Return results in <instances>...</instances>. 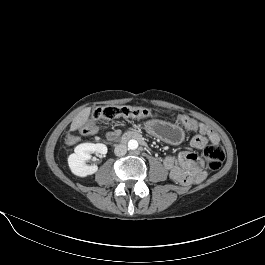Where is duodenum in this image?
Returning <instances> with one entry per match:
<instances>
[{
	"label": "duodenum",
	"mask_w": 265,
	"mask_h": 265,
	"mask_svg": "<svg viewBox=\"0 0 265 265\" xmlns=\"http://www.w3.org/2000/svg\"><path fill=\"white\" fill-rule=\"evenodd\" d=\"M132 139L139 141L143 145L144 148H146L147 150H149V147L145 143L142 135L139 132H137V131H128V132L124 133L119 138L118 142L119 143H125V142H127L129 140H132Z\"/></svg>",
	"instance_id": "1"
}]
</instances>
